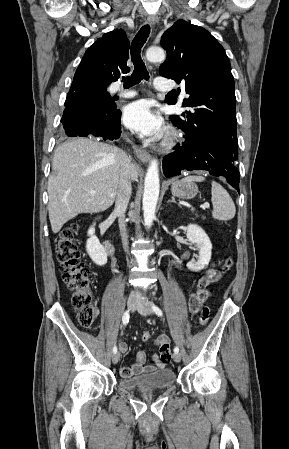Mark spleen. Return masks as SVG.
Segmentation results:
<instances>
[{
    "label": "spleen",
    "mask_w": 289,
    "mask_h": 449,
    "mask_svg": "<svg viewBox=\"0 0 289 449\" xmlns=\"http://www.w3.org/2000/svg\"><path fill=\"white\" fill-rule=\"evenodd\" d=\"M205 178L202 175L187 176L182 179L186 182H202ZM212 197L213 204L212 216L220 221H228L234 218L236 213L235 204L229 193L217 182L212 181Z\"/></svg>",
    "instance_id": "spleen-1"
}]
</instances>
